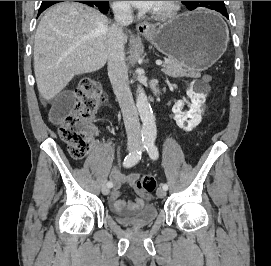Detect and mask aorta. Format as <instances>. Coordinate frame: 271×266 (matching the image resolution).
<instances>
[{
	"label": "aorta",
	"mask_w": 271,
	"mask_h": 266,
	"mask_svg": "<svg viewBox=\"0 0 271 266\" xmlns=\"http://www.w3.org/2000/svg\"><path fill=\"white\" fill-rule=\"evenodd\" d=\"M136 106L142 121V137L144 140H154L156 138V123L152 108L147 95L141 86L137 88Z\"/></svg>",
	"instance_id": "762f6f07"
}]
</instances>
